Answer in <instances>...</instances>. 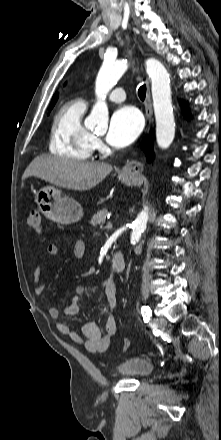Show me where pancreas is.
Masks as SVG:
<instances>
[{
	"label": "pancreas",
	"instance_id": "cf45deb5",
	"mask_svg": "<svg viewBox=\"0 0 221 440\" xmlns=\"http://www.w3.org/2000/svg\"><path fill=\"white\" fill-rule=\"evenodd\" d=\"M109 214L106 208L101 209L90 220V223L95 226H102L105 223V218Z\"/></svg>",
	"mask_w": 221,
	"mask_h": 440
}]
</instances>
